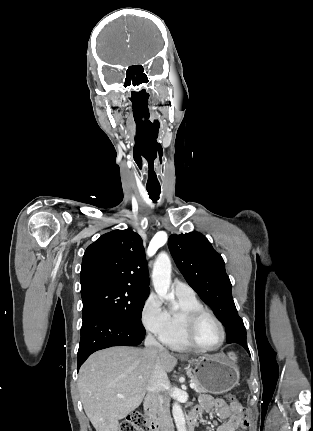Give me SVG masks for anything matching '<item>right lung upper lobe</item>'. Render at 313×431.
I'll return each instance as SVG.
<instances>
[{
	"instance_id": "1",
	"label": "right lung upper lobe",
	"mask_w": 313,
	"mask_h": 431,
	"mask_svg": "<svg viewBox=\"0 0 313 431\" xmlns=\"http://www.w3.org/2000/svg\"><path fill=\"white\" fill-rule=\"evenodd\" d=\"M82 297L112 287L149 293V277L141 237L129 230L102 235L86 249L80 273Z\"/></svg>"
}]
</instances>
